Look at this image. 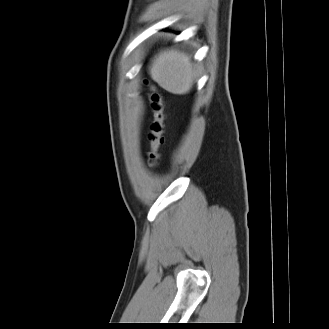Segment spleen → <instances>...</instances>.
Here are the masks:
<instances>
[{"instance_id": "obj_1", "label": "spleen", "mask_w": 329, "mask_h": 329, "mask_svg": "<svg viewBox=\"0 0 329 329\" xmlns=\"http://www.w3.org/2000/svg\"><path fill=\"white\" fill-rule=\"evenodd\" d=\"M149 73L163 89L173 94H186L192 88L196 66L179 50H167L155 56Z\"/></svg>"}]
</instances>
